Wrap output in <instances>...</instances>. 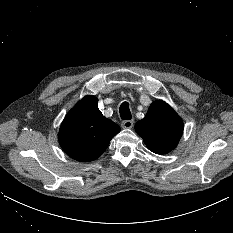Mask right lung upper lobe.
I'll return each instance as SVG.
<instances>
[{"label": "right lung upper lobe", "instance_id": "right-lung-upper-lobe-1", "mask_svg": "<svg viewBox=\"0 0 233 233\" xmlns=\"http://www.w3.org/2000/svg\"><path fill=\"white\" fill-rule=\"evenodd\" d=\"M94 96H85L63 120L58 139L71 158L88 162L97 159L107 149L120 127L105 118Z\"/></svg>", "mask_w": 233, "mask_h": 233}]
</instances>
